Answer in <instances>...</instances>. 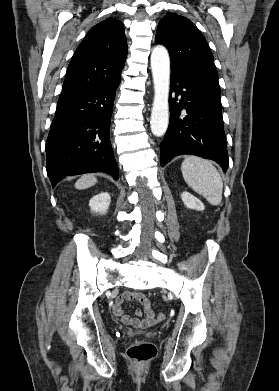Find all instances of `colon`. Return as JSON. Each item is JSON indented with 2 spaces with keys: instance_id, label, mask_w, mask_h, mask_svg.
I'll return each instance as SVG.
<instances>
[{
  "instance_id": "obj_1",
  "label": "colon",
  "mask_w": 279,
  "mask_h": 391,
  "mask_svg": "<svg viewBox=\"0 0 279 391\" xmlns=\"http://www.w3.org/2000/svg\"><path fill=\"white\" fill-rule=\"evenodd\" d=\"M165 320V315L160 313L157 315V321ZM127 356L137 363H144L152 359L156 355V347L149 342L136 341L127 347Z\"/></svg>"
}]
</instances>
